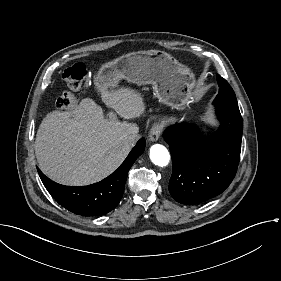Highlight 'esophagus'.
I'll return each instance as SVG.
<instances>
[{
  "label": "esophagus",
  "instance_id": "obj_1",
  "mask_svg": "<svg viewBox=\"0 0 281 281\" xmlns=\"http://www.w3.org/2000/svg\"><path fill=\"white\" fill-rule=\"evenodd\" d=\"M163 130V126L161 125V123H155L149 133V140L152 142H155L159 139L160 134Z\"/></svg>",
  "mask_w": 281,
  "mask_h": 281
}]
</instances>
